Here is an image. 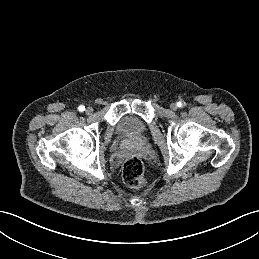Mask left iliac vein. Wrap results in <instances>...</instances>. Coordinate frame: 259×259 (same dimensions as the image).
<instances>
[{"label": "left iliac vein", "instance_id": "left-iliac-vein-1", "mask_svg": "<svg viewBox=\"0 0 259 259\" xmlns=\"http://www.w3.org/2000/svg\"><path fill=\"white\" fill-rule=\"evenodd\" d=\"M170 109L172 111H176L177 110V105L175 103L170 104Z\"/></svg>", "mask_w": 259, "mask_h": 259}]
</instances>
